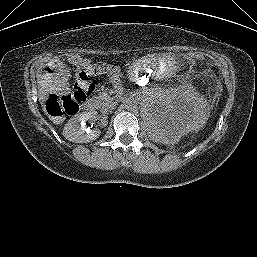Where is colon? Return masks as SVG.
Segmentation results:
<instances>
[{"label":"colon","mask_w":257,"mask_h":257,"mask_svg":"<svg viewBox=\"0 0 257 257\" xmlns=\"http://www.w3.org/2000/svg\"><path fill=\"white\" fill-rule=\"evenodd\" d=\"M189 58L191 61L198 62L204 59V55L200 52H191ZM95 72H97L96 67L84 66L77 74L76 82L72 87L58 94H50L46 100L48 113L55 118H60L64 114L77 113L87 95L95 88L91 81V76Z\"/></svg>","instance_id":"5ec220e1"}]
</instances>
